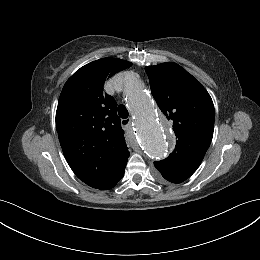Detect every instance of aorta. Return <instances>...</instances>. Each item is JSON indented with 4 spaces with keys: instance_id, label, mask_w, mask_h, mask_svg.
I'll return each instance as SVG.
<instances>
[{
    "instance_id": "aorta-1",
    "label": "aorta",
    "mask_w": 260,
    "mask_h": 260,
    "mask_svg": "<svg viewBox=\"0 0 260 260\" xmlns=\"http://www.w3.org/2000/svg\"><path fill=\"white\" fill-rule=\"evenodd\" d=\"M123 93L136 116V134L143 150L153 160L163 159L171 149L170 134L159 121L152 101L136 74L127 73L124 76Z\"/></svg>"
}]
</instances>
